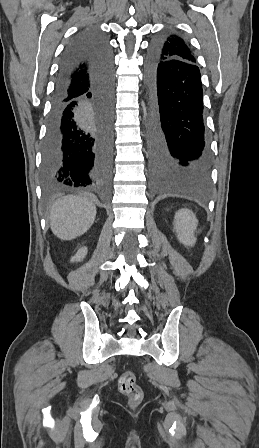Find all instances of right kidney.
Instances as JSON below:
<instances>
[{
    "instance_id": "1",
    "label": "right kidney",
    "mask_w": 259,
    "mask_h": 448,
    "mask_svg": "<svg viewBox=\"0 0 259 448\" xmlns=\"http://www.w3.org/2000/svg\"><path fill=\"white\" fill-rule=\"evenodd\" d=\"M87 252H88L87 248H80V250L76 252L75 256L71 258L70 262H81V260H83V258L87 256Z\"/></svg>"
}]
</instances>
